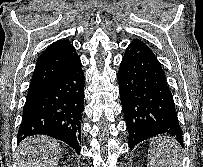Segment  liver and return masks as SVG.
<instances>
[{
    "label": "liver",
    "instance_id": "liver-1",
    "mask_svg": "<svg viewBox=\"0 0 203 167\" xmlns=\"http://www.w3.org/2000/svg\"><path fill=\"white\" fill-rule=\"evenodd\" d=\"M62 155L56 140L36 135L23 140L18 147V167H55Z\"/></svg>",
    "mask_w": 203,
    "mask_h": 167
}]
</instances>
